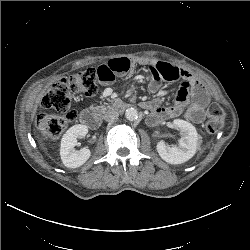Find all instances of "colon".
I'll use <instances>...</instances> for the list:
<instances>
[{
    "mask_svg": "<svg viewBox=\"0 0 250 250\" xmlns=\"http://www.w3.org/2000/svg\"><path fill=\"white\" fill-rule=\"evenodd\" d=\"M97 69L88 68L66 78H61L52 84L42 99V106L53 109L63 115L41 113L36 118V125L43 136L49 140L57 139L69 122L76 118V111L71 108V98L74 95L92 97L98 90ZM205 131L214 134L220 131L225 122V113L217 104H211L207 111Z\"/></svg>",
    "mask_w": 250,
    "mask_h": 250,
    "instance_id": "obj_1",
    "label": "colon"
}]
</instances>
